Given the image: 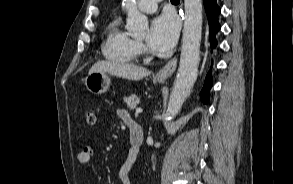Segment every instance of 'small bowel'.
I'll list each match as a JSON object with an SVG mask.
<instances>
[{
	"mask_svg": "<svg viewBox=\"0 0 293 184\" xmlns=\"http://www.w3.org/2000/svg\"><path fill=\"white\" fill-rule=\"evenodd\" d=\"M119 117L126 123L128 120L132 119L129 113L124 110H118ZM93 148L90 145H86L82 148V150L77 155V168L81 169L84 165L91 162L93 158ZM138 153L134 152L131 148L128 151L127 157L124 160L123 164L121 165L119 172H118V179L121 184H132L130 178V171L133 167L137 159Z\"/></svg>",
	"mask_w": 293,
	"mask_h": 184,
	"instance_id": "small-bowel-1",
	"label": "small bowel"
}]
</instances>
